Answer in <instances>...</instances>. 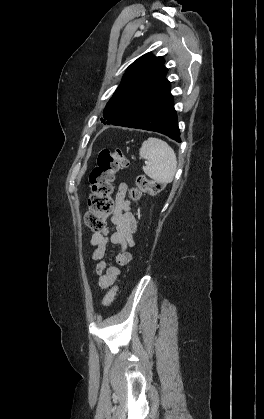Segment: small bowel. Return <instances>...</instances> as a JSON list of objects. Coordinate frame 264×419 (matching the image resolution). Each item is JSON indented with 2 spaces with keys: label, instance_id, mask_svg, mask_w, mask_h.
<instances>
[{
  "label": "small bowel",
  "instance_id": "small-bowel-1",
  "mask_svg": "<svg viewBox=\"0 0 264 419\" xmlns=\"http://www.w3.org/2000/svg\"><path fill=\"white\" fill-rule=\"evenodd\" d=\"M126 193L127 185L121 183L115 195V208L110 216V225L105 226L100 232H95L90 239V245L94 248L90 257L97 261L94 272L98 277V285L102 289L112 286L122 269L133 260V255L128 249L134 246L133 234L137 224L130 212V203L126 198ZM110 231H112L111 234ZM108 243L120 247L116 255L118 267L109 266L104 260Z\"/></svg>",
  "mask_w": 264,
  "mask_h": 419
}]
</instances>
